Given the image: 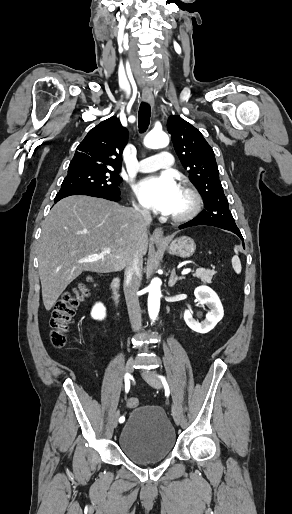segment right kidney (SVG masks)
Returning <instances> with one entry per match:
<instances>
[{"instance_id": "right-kidney-1", "label": "right kidney", "mask_w": 292, "mask_h": 514, "mask_svg": "<svg viewBox=\"0 0 292 514\" xmlns=\"http://www.w3.org/2000/svg\"><path fill=\"white\" fill-rule=\"evenodd\" d=\"M91 316L94 320H104L106 316L105 306H103V304H96V306L92 308Z\"/></svg>"}]
</instances>
